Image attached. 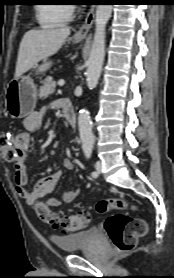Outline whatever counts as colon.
<instances>
[{"label": "colon", "mask_w": 174, "mask_h": 278, "mask_svg": "<svg viewBox=\"0 0 174 278\" xmlns=\"http://www.w3.org/2000/svg\"><path fill=\"white\" fill-rule=\"evenodd\" d=\"M10 140L11 136L9 134L0 135V153L6 161L13 162L15 151ZM129 207L135 208L123 198H110L100 200L96 209L99 213H107L112 210L123 211ZM35 209L42 221L66 232L81 230L91 221V216L87 211H80L73 215L54 214L41 202L36 204ZM104 227L111 243L120 252L133 249L138 238L147 231V224L143 219L125 213L110 215L106 219Z\"/></svg>", "instance_id": "obj_1"}]
</instances>
